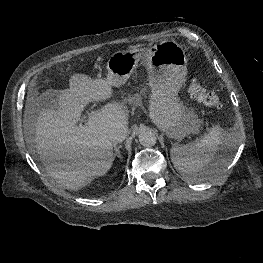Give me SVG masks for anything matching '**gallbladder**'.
<instances>
[{
	"mask_svg": "<svg viewBox=\"0 0 263 263\" xmlns=\"http://www.w3.org/2000/svg\"><path fill=\"white\" fill-rule=\"evenodd\" d=\"M40 107L44 109H53V110L58 109L57 96L52 92L46 93L41 97Z\"/></svg>",
	"mask_w": 263,
	"mask_h": 263,
	"instance_id": "bac80fb5",
	"label": "gallbladder"
}]
</instances>
